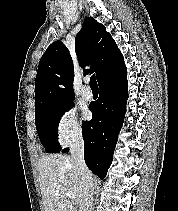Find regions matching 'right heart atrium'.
<instances>
[{
  "label": "right heart atrium",
  "mask_w": 178,
  "mask_h": 211,
  "mask_svg": "<svg viewBox=\"0 0 178 211\" xmlns=\"http://www.w3.org/2000/svg\"><path fill=\"white\" fill-rule=\"evenodd\" d=\"M83 126L75 107L65 108L57 117L55 123V135L57 141L63 145H69L82 137Z\"/></svg>",
  "instance_id": "right-heart-atrium-1"
}]
</instances>
